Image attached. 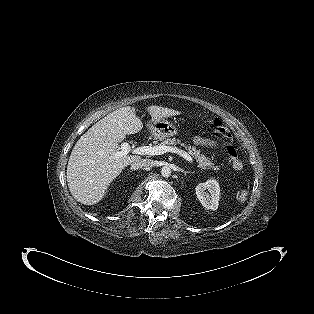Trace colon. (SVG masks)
Returning <instances> with one entry per match:
<instances>
[{"mask_svg":"<svg viewBox=\"0 0 314 314\" xmlns=\"http://www.w3.org/2000/svg\"><path fill=\"white\" fill-rule=\"evenodd\" d=\"M213 133L225 141L230 140V133L223 121L219 118H214L211 124ZM225 153L228 157L229 163L235 170H242L244 163L238 156L237 150L231 144H226Z\"/></svg>","mask_w":314,"mask_h":314,"instance_id":"obj_1","label":"colon"}]
</instances>
